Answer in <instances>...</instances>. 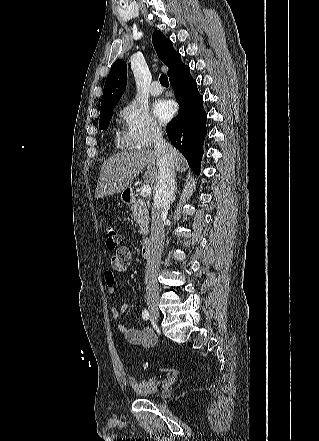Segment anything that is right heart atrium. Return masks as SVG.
Segmentation results:
<instances>
[{"mask_svg":"<svg viewBox=\"0 0 319 441\" xmlns=\"http://www.w3.org/2000/svg\"><path fill=\"white\" fill-rule=\"evenodd\" d=\"M119 117L122 123L121 142L125 149H147L161 138V128L145 106L131 101L122 107Z\"/></svg>","mask_w":319,"mask_h":441,"instance_id":"right-heart-atrium-1","label":"right heart atrium"}]
</instances>
